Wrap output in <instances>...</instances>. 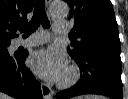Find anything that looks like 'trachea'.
<instances>
[{
  "instance_id": "1",
  "label": "trachea",
  "mask_w": 128,
  "mask_h": 99,
  "mask_svg": "<svg viewBox=\"0 0 128 99\" xmlns=\"http://www.w3.org/2000/svg\"><path fill=\"white\" fill-rule=\"evenodd\" d=\"M44 28H49L50 23L45 12V2L44 0H37L34 7V13L31 21L27 24L20 25L19 30L24 33V36H29L31 33L36 31L40 26Z\"/></svg>"
}]
</instances>
